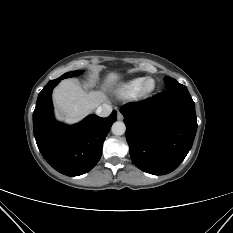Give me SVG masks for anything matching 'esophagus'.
I'll return each mask as SVG.
<instances>
[{"label":"esophagus","mask_w":233,"mask_h":233,"mask_svg":"<svg viewBox=\"0 0 233 233\" xmlns=\"http://www.w3.org/2000/svg\"><path fill=\"white\" fill-rule=\"evenodd\" d=\"M117 119L118 120H123V115L120 111L117 112Z\"/></svg>","instance_id":"esophagus-1"}]
</instances>
